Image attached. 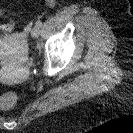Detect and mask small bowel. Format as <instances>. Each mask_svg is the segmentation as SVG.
<instances>
[{
	"label": "small bowel",
	"instance_id": "obj_1",
	"mask_svg": "<svg viewBox=\"0 0 133 133\" xmlns=\"http://www.w3.org/2000/svg\"><path fill=\"white\" fill-rule=\"evenodd\" d=\"M0 29L3 31H11L13 28H10L9 23H7V24H3L2 26H0Z\"/></svg>",
	"mask_w": 133,
	"mask_h": 133
}]
</instances>
